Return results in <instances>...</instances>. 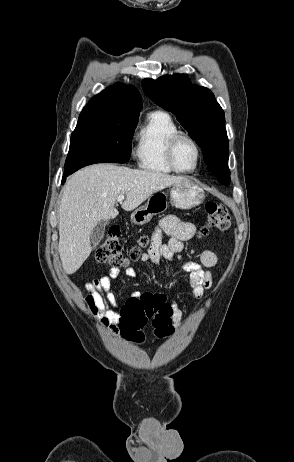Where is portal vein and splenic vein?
<instances>
[{
  "instance_id": "portal-vein-and-splenic-vein-1",
  "label": "portal vein and splenic vein",
  "mask_w": 294,
  "mask_h": 462,
  "mask_svg": "<svg viewBox=\"0 0 294 462\" xmlns=\"http://www.w3.org/2000/svg\"><path fill=\"white\" fill-rule=\"evenodd\" d=\"M123 200H124V195H119V196L117 197V201H118V202H122Z\"/></svg>"
}]
</instances>
